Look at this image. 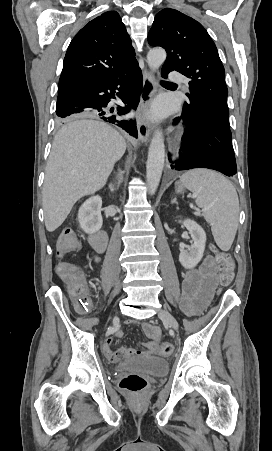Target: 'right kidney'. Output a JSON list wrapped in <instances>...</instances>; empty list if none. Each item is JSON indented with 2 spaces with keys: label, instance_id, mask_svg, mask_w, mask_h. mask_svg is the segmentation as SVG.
<instances>
[{
  "label": "right kidney",
  "instance_id": "right-kidney-1",
  "mask_svg": "<svg viewBox=\"0 0 272 451\" xmlns=\"http://www.w3.org/2000/svg\"><path fill=\"white\" fill-rule=\"evenodd\" d=\"M101 206L102 198L100 196H92L79 208V224L86 233H94V231H98L102 227Z\"/></svg>",
  "mask_w": 272,
  "mask_h": 451
}]
</instances>
